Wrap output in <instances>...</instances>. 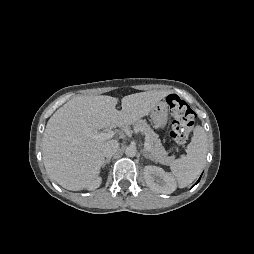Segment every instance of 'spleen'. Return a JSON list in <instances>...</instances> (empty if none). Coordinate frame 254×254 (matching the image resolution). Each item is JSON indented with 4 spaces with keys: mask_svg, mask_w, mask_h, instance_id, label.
<instances>
[{
    "mask_svg": "<svg viewBox=\"0 0 254 254\" xmlns=\"http://www.w3.org/2000/svg\"><path fill=\"white\" fill-rule=\"evenodd\" d=\"M207 136L201 126H196L191 142L187 146V154L173 161L170 165L180 188L190 185L200 174L207 154Z\"/></svg>",
    "mask_w": 254,
    "mask_h": 254,
    "instance_id": "1",
    "label": "spleen"
}]
</instances>
